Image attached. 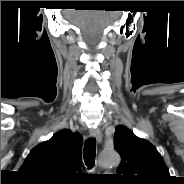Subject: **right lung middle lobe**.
I'll use <instances>...</instances> for the list:
<instances>
[{
  "label": "right lung middle lobe",
  "mask_w": 184,
  "mask_h": 184,
  "mask_svg": "<svg viewBox=\"0 0 184 184\" xmlns=\"http://www.w3.org/2000/svg\"><path fill=\"white\" fill-rule=\"evenodd\" d=\"M33 183H37V184H45V183H42V182H33Z\"/></svg>",
  "instance_id": "right-lung-middle-lobe-1"
}]
</instances>
